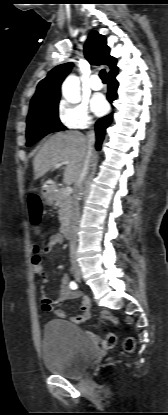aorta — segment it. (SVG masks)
Instances as JSON below:
<instances>
[{"label":"aorta","mask_w":168,"mask_h":415,"mask_svg":"<svg viewBox=\"0 0 168 415\" xmlns=\"http://www.w3.org/2000/svg\"><path fill=\"white\" fill-rule=\"evenodd\" d=\"M62 93L64 98L71 103L80 100L79 81L75 76H69L63 84Z\"/></svg>","instance_id":"obj_1"}]
</instances>
